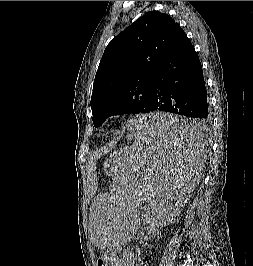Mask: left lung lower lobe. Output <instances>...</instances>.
<instances>
[{
  "label": "left lung lower lobe",
  "instance_id": "obj_1",
  "mask_svg": "<svg viewBox=\"0 0 253 266\" xmlns=\"http://www.w3.org/2000/svg\"><path fill=\"white\" fill-rule=\"evenodd\" d=\"M160 110L192 118L191 122L157 125L155 131L180 140L206 132L210 114L199 57L177 24L153 76L146 113Z\"/></svg>",
  "mask_w": 253,
  "mask_h": 266
}]
</instances>
